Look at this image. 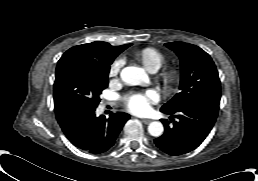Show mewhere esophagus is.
Here are the masks:
<instances>
[{
  "label": "esophagus",
  "instance_id": "34e87169",
  "mask_svg": "<svg viewBox=\"0 0 258 181\" xmlns=\"http://www.w3.org/2000/svg\"><path fill=\"white\" fill-rule=\"evenodd\" d=\"M141 122L144 124H149L151 122V119H141Z\"/></svg>",
  "mask_w": 258,
  "mask_h": 181
}]
</instances>
